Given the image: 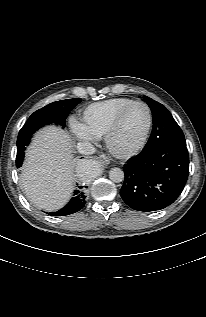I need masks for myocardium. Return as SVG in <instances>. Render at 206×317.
Returning <instances> with one entry per match:
<instances>
[{"instance_id": "1", "label": "myocardium", "mask_w": 206, "mask_h": 317, "mask_svg": "<svg viewBox=\"0 0 206 317\" xmlns=\"http://www.w3.org/2000/svg\"><path fill=\"white\" fill-rule=\"evenodd\" d=\"M135 105H142L147 112V126L146 129L144 131V134L142 136V139L140 140V142L129 149L126 150H120L117 149L114 144H113V136L116 133L117 129L119 128L121 121L124 117V115L126 114V112L133 106ZM152 123H153V118H152V112L150 107L142 101H133L130 104L126 105L125 107H123L114 117V119L112 120L110 126L108 127L105 135H104V143L105 146L107 148V150L113 154L116 157L119 158H128L131 156L136 155L137 153H139L146 145L149 136H150V132L152 129Z\"/></svg>"}]
</instances>
